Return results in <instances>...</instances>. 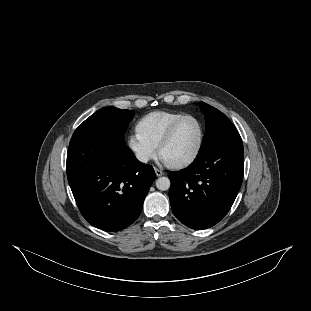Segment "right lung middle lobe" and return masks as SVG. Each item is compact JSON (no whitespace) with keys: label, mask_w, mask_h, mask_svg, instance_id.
Here are the masks:
<instances>
[{"label":"right lung middle lobe","mask_w":311,"mask_h":311,"mask_svg":"<svg viewBox=\"0 0 311 311\" xmlns=\"http://www.w3.org/2000/svg\"><path fill=\"white\" fill-rule=\"evenodd\" d=\"M134 112L113 106L104 107L87 118L74 132L71 141L82 137L102 134L125 141L124 134Z\"/></svg>","instance_id":"right-lung-middle-lobe-1"}]
</instances>
